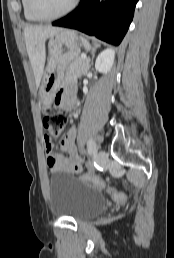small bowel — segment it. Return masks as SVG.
I'll use <instances>...</instances> for the list:
<instances>
[{
  "instance_id": "obj_1",
  "label": "small bowel",
  "mask_w": 174,
  "mask_h": 258,
  "mask_svg": "<svg viewBox=\"0 0 174 258\" xmlns=\"http://www.w3.org/2000/svg\"><path fill=\"white\" fill-rule=\"evenodd\" d=\"M74 86L58 92L55 96V104L65 106L72 115L76 114L74 100ZM77 127L72 126L61 143L63 153H56L54 146L47 136L44 137V151L46 154V165L51 173L67 172L77 174L83 170V159L75 146ZM119 183V180H112Z\"/></svg>"
}]
</instances>
